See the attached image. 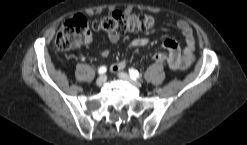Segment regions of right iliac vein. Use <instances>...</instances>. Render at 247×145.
<instances>
[{"mask_svg":"<svg viewBox=\"0 0 247 145\" xmlns=\"http://www.w3.org/2000/svg\"><path fill=\"white\" fill-rule=\"evenodd\" d=\"M107 80V76L106 75H102L100 76L97 81H96V85L97 86H102Z\"/></svg>","mask_w":247,"mask_h":145,"instance_id":"obj_1","label":"right iliac vein"}]
</instances>
